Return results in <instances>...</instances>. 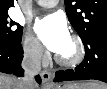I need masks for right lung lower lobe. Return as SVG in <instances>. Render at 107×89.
<instances>
[{"mask_svg":"<svg viewBox=\"0 0 107 89\" xmlns=\"http://www.w3.org/2000/svg\"><path fill=\"white\" fill-rule=\"evenodd\" d=\"M23 50L21 41L15 46H9L0 42V72L23 76L21 61ZM36 81L41 82L40 76H36Z\"/></svg>","mask_w":107,"mask_h":89,"instance_id":"1","label":"right lung lower lobe"}]
</instances>
